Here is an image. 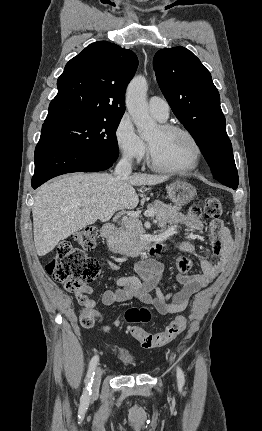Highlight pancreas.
I'll return each instance as SVG.
<instances>
[{"label":"pancreas","instance_id":"pancreas-1","mask_svg":"<svg viewBox=\"0 0 262 431\" xmlns=\"http://www.w3.org/2000/svg\"><path fill=\"white\" fill-rule=\"evenodd\" d=\"M148 211L154 212L158 220L165 223L180 210L179 207L167 205L161 201H154L147 207ZM145 230L142 223L136 218H129L116 231L111 243L114 252L133 256L139 254L146 246L147 242L142 239Z\"/></svg>","mask_w":262,"mask_h":431}]
</instances>
